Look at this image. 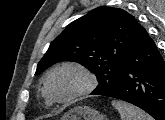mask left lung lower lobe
<instances>
[{
    "label": "left lung lower lobe",
    "instance_id": "left-lung-lower-lobe-1",
    "mask_svg": "<svg viewBox=\"0 0 165 120\" xmlns=\"http://www.w3.org/2000/svg\"><path fill=\"white\" fill-rule=\"evenodd\" d=\"M127 101L165 120V62L145 32L128 53L119 86L106 94Z\"/></svg>",
    "mask_w": 165,
    "mask_h": 120
}]
</instances>
